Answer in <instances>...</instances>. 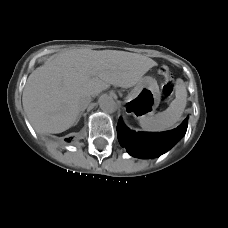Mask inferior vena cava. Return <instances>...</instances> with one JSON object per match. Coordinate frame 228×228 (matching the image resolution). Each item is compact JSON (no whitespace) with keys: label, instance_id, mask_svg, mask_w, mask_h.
<instances>
[{"label":"inferior vena cava","instance_id":"obj_1","mask_svg":"<svg viewBox=\"0 0 228 228\" xmlns=\"http://www.w3.org/2000/svg\"><path fill=\"white\" fill-rule=\"evenodd\" d=\"M91 102V96L89 94H82L77 99V107L80 111H83L87 108Z\"/></svg>","mask_w":228,"mask_h":228}]
</instances>
